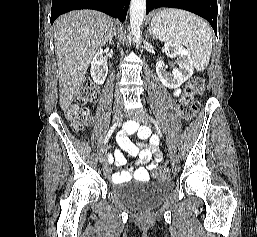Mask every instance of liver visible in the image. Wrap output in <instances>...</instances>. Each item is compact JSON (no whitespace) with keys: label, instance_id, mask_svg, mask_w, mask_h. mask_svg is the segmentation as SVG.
<instances>
[{"label":"liver","instance_id":"6515ba94","mask_svg":"<svg viewBox=\"0 0 257 237\" xmlns=\"http://www.w3.org/2000/svg\"><path fill=\"white\" fill-rule=\"evenodd\" d=\"M115 32V21L94 10L72 11L54 23V45L59 69V103L69 108L79 92L90 61Z\"/></svg>","mask_w":257,"mask_h":237}]
</instances>
